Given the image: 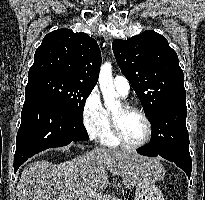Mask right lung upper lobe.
<instances>
[{"label": "right lung upper lobe", "instance_id": "cb5924a9", "mask_svg": "<svg viewBox=\"0 0 205 200\" xmlns=\"http://www.w3.org/2000/svg\"><path fill=\"white\" fill-rule=\"evenodd\" d=\"M101 52L85 33L62 28L48 33L34 55L29 79L58 75L94 87L98 81Z\"/></svg>", "mask_w": 205, "mask_h": 200}]
</instances>
